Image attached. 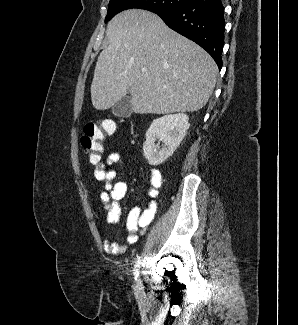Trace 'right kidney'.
Instances as JSON below:
<instances>
[{
    "mask_svg": "<svg viewBox=\"0 0 298 325\" xmlns=\"http://www.w3.org/2000/svg\"><path fill=\"white\" fill-rule=\"evenodd\" d=\"M190 126L189 116L185 112L178 114H164L152 120L143 142V154L149 165H161L183 140ZM163 142L160 148V142Z\"/></svg>",
    "mask_w": 298,
    "mask_h": 325,
    "instance_id": "obj_1",
    "label": "right kidney"
}]
</instances>
